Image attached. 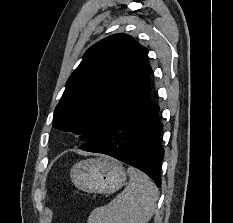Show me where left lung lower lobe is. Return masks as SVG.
Instances as JSON below:
<instances>
[{"label": "left lung lower lobe", "mask_w": 233, "mask_h": 223, "mask_svg": "<svg viewBox=\"0 0 233 223\" xmlns=\"http://www.w3.org/2000/svg\"><path fill=\"white\" fill-rule=\"evenodd\" d=\"M152 72V71H151ZM151 74V73H150ZM82 150L110 155L145 172L161 186L164 150L159 106L150 99L149 76Z\"/></svg>", "instance_id": "1"}]
</instances>
